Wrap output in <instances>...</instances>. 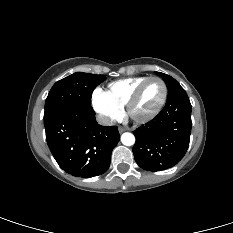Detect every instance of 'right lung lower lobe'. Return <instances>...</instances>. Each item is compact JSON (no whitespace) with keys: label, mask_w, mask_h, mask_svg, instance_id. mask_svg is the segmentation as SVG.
Segmentation results:
<instances>
[{"label":"right lung lower lobe","mask_w":233,"mask_h":233,"mask_svg":"<svg viewBox=\"0 0 233 233\" xmlns=\"http://www.w3.org/2000/svg\"><path fill=\"white\" fill-rule=\"evenodd\" d=\"M94 115L91 104L76 103L44 116L49 149L73 176L90 178L106 172L120 139L116 126H101Z\"/></svg>","instance_id":"right-lung-lower-lobe-1"}]
</instances>
